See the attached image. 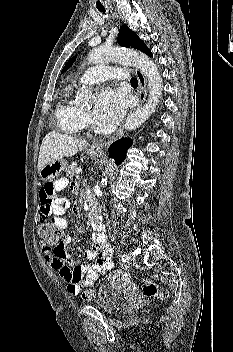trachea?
<instances>
[{
    "mask_svg": "<svg viewBox=\"0 0 233 352\" xmlns=\"http://www.w3.org/2000/svg\"><path fill=\"white\" fill-rule=\"evenodd\" d=\"M99 10V12L105 14V9L104 8H97ZM131 84L133 85H138V80L137 78H131Z\"/></svg>",
    "mask_w": 233,
    "mask_h": 352,
    "instance_id": "trachea-1",
    "label": "trachea"
}]
</instances>
